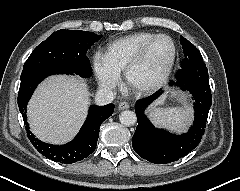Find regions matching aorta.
I'll use <instances>...</instances> for the list:
<instances>
[{"label":"aorta","instance_id":"1","mask_svg":"<svg viewBox=\"0 0 240 191\" xmlns=\"http://www.w3.org/2000/svg\"><path fill=\"white\" fill-rule=\"evenodd\" d=\"M120 123L125 126H132L136 123L137 117L133 111L125 110L119 116Z\"/></svg>","mask_w":240,"mask_h":191}]
</instances>
